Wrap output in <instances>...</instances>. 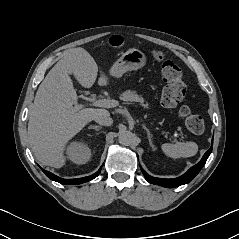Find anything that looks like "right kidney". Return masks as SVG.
Wrapping results in <instances>:
<instances>
[{
  "label": "right kidney",
  "mask_w": 239,
  "mask_h": 239,
  "mask_svg": "<svg viewBox=\"0 0 239 239\" xmlns=\"http://www.w3.org/2000/svg\"><path fill=\"white\" fill-rule=\"evenodd\" d=\"M69 160L78 165L85 164L91 157V149L83 142L73 141L66 149Z\"/></svg>",
  "instance_id": "1"
}]
</instances>
